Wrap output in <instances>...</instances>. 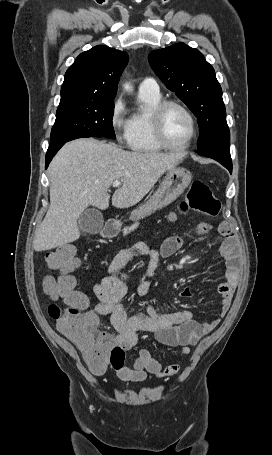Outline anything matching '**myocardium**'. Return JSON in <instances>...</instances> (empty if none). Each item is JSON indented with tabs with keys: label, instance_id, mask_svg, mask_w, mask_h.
Here are the masks:
<instances>
[{
	"label": "myocardium",
	"instance_id": "myocardium-1",
	"mask_svg": "<svg viewBox=\"0 0 272 455\" xmlns=\"http://www.w3.org/2000/svg\"><path fill=\"white\" fill-rule=\"evenodd\" d=\"M170 107L181 109L188 117L191 125V133L187 141L181 145L171 144L164 133L163 120L164 115ZM151 128L156 142L164 149L171 151H183L190 147L198 133V126L193 112L182 102L177 100H161L151 112Z\"/></svg>",
	"mask_w": 272,
	"mask_h": 455
}]
</instances>
